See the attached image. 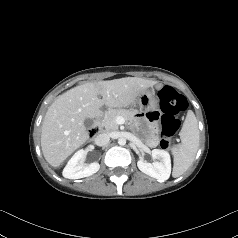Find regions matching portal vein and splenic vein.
<instances>
[{
	"instance_id": "obj_1",
	"label": "portal vein and splenic vein",
	"mask_w": 238,
	"mask_h": 238,
	"mask_svg": "<svg viewBox=\"0 0 238 238\" xmlns=\"http://www.w3.org/2000/svg\"><path fill=\"white\" fill-rule=\"evenodd\" d=\"M124 122H125V119L123 117L119 116V117L116 118V123L117 124H124Z\"/></svg>"
}]
</instances>
